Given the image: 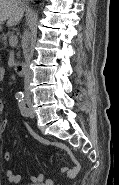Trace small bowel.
<instances>
[{
  "instance_id": "obj_1",
  "label": "small bowel",
  "mask_w": 119,
  "mask_h": 185,
  "mask_svg": "<svg viewBox=\"0 0 119 185\" xmlns=\"http://www.w3.org/2000/svg\"><path fill=\"white\" fill-rule=\"evenodd\" d=\"M5 76V70L3 68H0V79L3 80ZM0 112H4V106L2 103H0ZM8 120H3L1 124L2 132H5L8 127ZM26 129L43 145H50V142L46 139L40 137L36 133H34L29 127H26ZM52 145L58 149H61L69 154L71 157L72 165L71 167H63L61 168V172L65 173L67 178L69 180H73L77 177L79 171H80V164L78 160L73 156L71 150L63 143L55 142L52 143ZM3 158L5 161H9L11 159V154L8 151H5L3 153ZM5 176L9 180V182L12 183H19L21 181V176L15 174L12 170L6 169L5 170ZM31 180L36 183H42V185H54L53 181L51 179H45V176L43 174H37L31 177Z\"/></svg>"
}]
</instances>
